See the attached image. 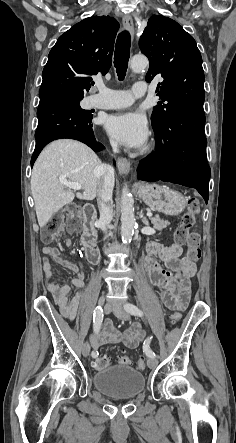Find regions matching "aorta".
<instances>
[{"label":"aorta","instance_id":"762f6f07","mask_svg":"<svg viewBox=\"0 0 236 443\" xmlns=\"http://www.w3.org/2000/svg\"><path fill=\"white\" fill-rule=\"evenodd\" d=\"M148 65V59L145 56H134L131 59L130 66L133 71L139 72ZM135 226V215L132 195L129 192L127 184L122 189L121 194V238L123 243L130 242Z\"/></svg>","mask_w":236,"mask_h":443}]
</instances>
